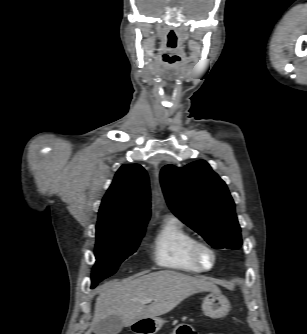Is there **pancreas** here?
Here are the masks:
<instances>
[{
    "label": "pancreas",
    "mask_w": 307,
    "mask_h": 334,
    "mask_svg": "<svg viewBox=\"0 0 307 334\" xmlns=\"http://www.w3.org/2000/svg\"><path fill=\"white\" fill-rule=\"evenodd\" d=\"M182 320L184 321V320H186V318H185V317H183V318H182Z\"/></svg>",
    "instance_id": "cf45deb5"
}]
</instances>
